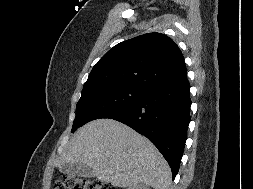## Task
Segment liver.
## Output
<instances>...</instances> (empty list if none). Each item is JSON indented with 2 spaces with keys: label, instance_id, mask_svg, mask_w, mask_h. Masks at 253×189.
<instances>
[{
  "label": "liver",
  "instance_id": "6515ba94",
  "mask_svg": "<svg viewBox=\"0 0 253 189\" xmlns=\"http://www.w3.org/2000/svg\"><path fill=\"white\" fill-rule=\"evenodd\" d=\"M83 163L102 182L125 188L137 184L168 189L171 170L157 148L130 127L97 119L79 128L57 166Z\"/></svg>",
  "mask_w": 253,
  "mask_h": 189
}]
</instances>
